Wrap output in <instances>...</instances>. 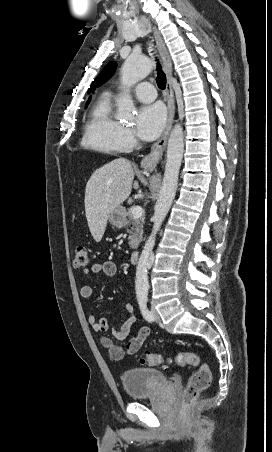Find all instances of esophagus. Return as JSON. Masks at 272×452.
Wrapping results in <instances>:
<instances>
[{
	"mask_svg": "<svg viewBox=\"0 0 272 452\" xmlns=\"http://www.w3.org/2000/svg\"><path fill=\"white\" fill-rule=\"evenodd\" d=\"M153 33L156 40V45L159 51V54L161 56L164 71L167 76V84H166V92H167V106H168V116H167V124L165 127V130L160 137V139L155 142L152 147L149 154H147L141 161V166L144 168H155L157 163L162 157L163 151L165 149L168 135L170 133V130L172 128V124L174 121V115H175V100H174V91L171 83L172 78V61L169 56V53L166 49V46L163 42V39L160 35V32L156 29V27H153Z\"/></svg>",
	"mask_w": 272,
	"mask_h": 452,
	"instance_id": "obj_1",
	"label": "esophagus"
}]
</instances>
